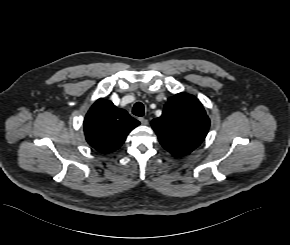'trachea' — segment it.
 Masks as SVG:
<instances>
[{
	"instance_id": "trachea-1",
	"label": "trachea",
	"mask_w": 290,
	"mask_h": 245,
	"mask_svg": "<svg viewBox=\"0 0 290 245\" xmlns=\"http://www.w3.org/2000/svg\"><path fill=\"white\" fill-rule=\"evenodd\" d=\"M133 114L136 116H143L144 115V106L142 103L137 102L134 104L133 110H132Z\"/></svg>"
}]
</instances>
